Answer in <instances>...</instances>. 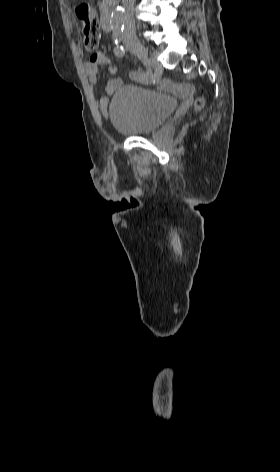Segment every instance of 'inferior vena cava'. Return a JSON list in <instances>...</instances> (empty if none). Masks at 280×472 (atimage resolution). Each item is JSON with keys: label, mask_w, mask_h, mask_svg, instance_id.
<instances>
[{"label": "inferior vena cava", "mask_w": 280, "mask_h": 472, "mask_svg": "<svg viewBox=\"0 0 280 472\" xmlns=\"http://www.w3.org/2000/svg\"><path fill=\"white\" fill-rule=\"evenodd\" d=\"M135 0H122L126 11V29L132 33L135 32V22L133 18V5Z\"/></svg>", "instance_id": "inferior-vena-cava-1"}]
</instances>
